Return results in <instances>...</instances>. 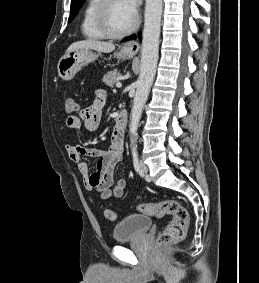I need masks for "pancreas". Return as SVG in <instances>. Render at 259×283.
<instances>
[{
    "label": "pancreas",
    "instance_id": "pancreas-1",
    "mask_svg": "<svg viewBox=\"0 0 259 283\" xmlns=\"http://www.w3.org/2000/svg\"><path fill=\"white\" fill-rule=\"evenodd\" d=\"M120 76L121 73L117 69L108 71L103 77V82L106 85L113 87L119 81Z\"/></svg>",
    "mask_w": 259,
    "mask_h": 283
}]
</instances>
